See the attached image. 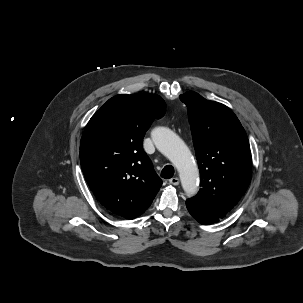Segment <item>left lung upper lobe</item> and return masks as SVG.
<instances>
[{"label": "left lung upper lobe", "mask_w": 303, "mask_h": 303, "mask_svg": "<svg viewBox=\"0 0 303 303\" xmlns=\"http://www.w3.org/2000/svg\"><path fill=\"white\" fill-rule=\"evenodd\" d=\"M180 100L188 107L202 186L187 201L224 218L244 195L251 180L247 134L224 104L206 100L193 91L180 95Z\"/></svg>", "instance_id": "obj_1"}]
</instances>
